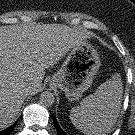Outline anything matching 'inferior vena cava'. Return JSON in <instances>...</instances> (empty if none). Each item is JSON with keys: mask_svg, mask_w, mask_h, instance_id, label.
Listing matches in <instances>:
<instances>
[{"mask_svg": "<svg viewBox=\"0 0 135 135\" xmlns=\"http://www.w3.org/2000/svg\"><path fill=\"white\" fill-rule=\"evenodd\" d=\"M25 90H26L27 92H30V91H31V86H30V85L27 86V87L25 88Z\"/></svg>", "mask_w": 135, "mask_h": 135, "instance_id": "inferior-vena-cava-1", "label": "inferior vena cava"}]
</instances>
